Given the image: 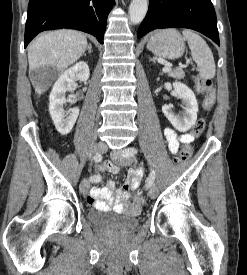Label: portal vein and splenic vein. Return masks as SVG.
Segmentation results:
<instances>
[{"instance_id":"18ae733b","label":"portal vein and splenic vein","mask_w":247,"mask_h":275,"mask_svg":"<svg viewBox=\"0 0 247 275\" xmlns=\"http://www.w3.org/2000/svg\"><path fill=\"white\" fill-rule=\"evenodd\" d=\"M183 67H185L184 65H180L178 68H177V70H179V69H182ZM171 71V67H164L163 68V72L164 73H168V72H170Z\"/></svg>"}]
</instances>
